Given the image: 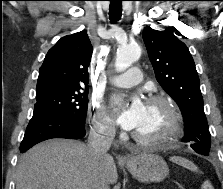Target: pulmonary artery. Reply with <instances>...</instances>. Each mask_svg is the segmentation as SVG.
I'll return each instance as SVG.
<instances>
[{
  "label": "pulmonary artery",
  "mask_w": 223,
  "mask_h": 189,
  "mask_svg": "<svg viewBox=\"0 0 223 189\" xmlns=\"http://www.w3.org/2000/svg\"><path fill=\"white\" fill-rule=\"evenodd\" d=\"M142 79V72L139 68H131L126 73L110 77L109 82L118 87H132Z\"/></svg>",
  "instance_id": "obj_1"
}]
</instances>
